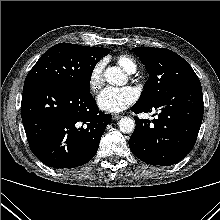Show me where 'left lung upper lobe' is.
Segmentation results:
<instances>
[{"instance_id":"left-lung-upper-lobe-1","label":"left lung upper lobe","mask_w":220,"mask_h":220,"mask_svg":"<svg viewBox=\"0 0 220 220\" xmlns=\"http://www.w3.org/2000/svg\"><path fill=\"white\" fill-rule=\"evenodd\" d=\"M139 57L150 76L138 104H150L165 94L189 84H200L189 63L175 52L154 47H136Z\"/></svg>"}]
</instances>
